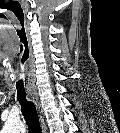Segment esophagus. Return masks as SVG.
<instances>
[{
    "mask_svg": "<svg viewBox=\"0 0 120 133\" xmlns=\"http://www.w3.org/2000/svg\"><path fill=\"white\" fill-rule=\"evenodd\" d=\"M30 95H31V97H32V99H33V101H34L37 109L40 111V107H39L38 100H37V97H36V92L34 90L33 91H30ZM41 121H42V127H44L43 126L44 123H43L42 116H41Z\"/></svg>",
    "mask_w": 120,
    "mask_h": 133,
    "instance_id": "esophagus-1",
    "label": "esophagus"
}]
</instances>
